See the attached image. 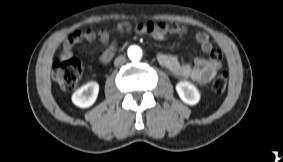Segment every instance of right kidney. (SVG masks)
<instances>
[{
    "mask_svg": "<svg viewBox=\"0 0 283 162\" xmlns=\"http://www.w3.org/2000/svg\"><path fill=\"white\" fill-rule=\"evenodd\" d=\"M99 92L97 82H88L72 95V102L80 108H88L94 104Z\"/></svg>",
    "mask_w": 283,
    "mask_h": 162,
    "instance_id": "right-kidney-1",
    "label": "right kidney"
}]
</instances>
